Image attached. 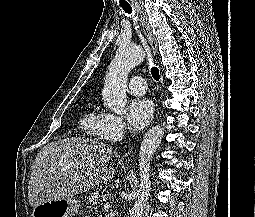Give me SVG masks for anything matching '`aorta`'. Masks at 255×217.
I'll use <instances>...</instances> for the list:
<instances>
[{"instance_id":"762f6f07","label":"aorta","mask_w":255,"mask_h":217,"mask_svg":"<svg viewBox=\"0 0 255 217\" xmlns=\"http://www.w3.org/2000/svg\"><path fill=\"white\" fill-rule=\"evenodd\" d=\"M145 57L141 47L123 44L120 45L111 61L104 87L102 98L107 107L116 114L126 112V87L129 72L139 65ZM164 127L155 126L144 136L139 152L140 186L137 200L130 210V217H142L151 188L150 161L164 136Z\"/></svg>"}]
</instances>
